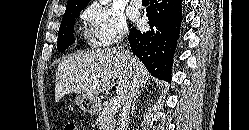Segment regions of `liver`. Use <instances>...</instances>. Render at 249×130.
<instances>
[{
    "instance_id": "1",
    "label": "liver",
    "mask_w": 249,
    "mask_h": 130,
    "mask_svg": "<svg viewBox=\"0 0 249 130\" xmlns=\"http://www.w3.org/2000/svg\"><path fill=\"white\" fill-rule=\"evenodd\" d=\"M133 79L143 87L151 77L142 62L131 53L102 48L73 54L58 64L55 101L59 102L71 93L95 96L108 92L116 80L117 97L122 105Z\"/></svg>"
}]
</instances>
